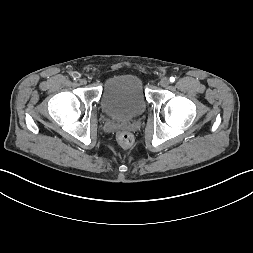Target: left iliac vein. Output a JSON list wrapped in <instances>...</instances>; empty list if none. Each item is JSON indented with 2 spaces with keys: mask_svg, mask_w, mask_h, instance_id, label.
<instances>
[{
  "mask_svg": "<svg viewBox=\"0 0 253 253\" xmlns=\"http://www.w3.org/2000/svg\"><path fill=\"white\" fill-rule=\"evenodd\" d=\"M169 84H170V81H169V79L166 78V77H163V78L160 80V85H161V87L166 88V87H168Z\"/></svg>",
  "mask_w": 253,
  "mask_h": 253,
  "instance_id": "4c4485c4",
  "label": "left iliac vein"
}]
</instances>
